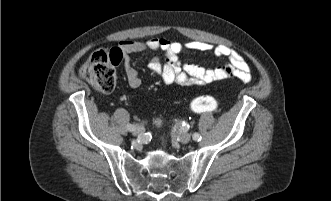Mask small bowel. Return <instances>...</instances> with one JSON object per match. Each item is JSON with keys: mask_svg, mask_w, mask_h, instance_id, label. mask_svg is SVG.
<instances>
[{"mask_svg": "<svg viewBox=\"0 0 331 201\" xmlns=\"http://www.w3.org/2000/svg\"><path fill=\"white\" fill-rule=\"evenodd\" d=\"M161 51L163 58L155 56L149 63L152 73L165 84L184 87H199L227 78H236L244 83L251 81L250 67L245 59L233 48L213 45L204 41L177 42L166 38H151L146 41L125 40L119 44L124 72L131 88H138L141 79L131 65L129 55L144 51ZM184 50L210 52L217 57H226L229 63L214 69H206L193 63H182L180 55Z\"/></svg>", "mask_w": 331, "mask_h": 201, "instance_id": "small-bowel-1", "label": "small bowel"}]
</instances>
